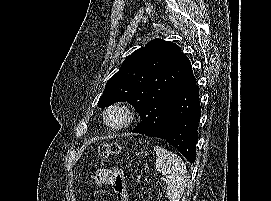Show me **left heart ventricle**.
<instances>
[{
  "label": "left heart ventricle",
  "mask_w": 271,
  "mask_h": 201,
  "mask_svg": "<svg viewBox=\"0 0 271 201\" xmlns=\"http://www.w3.org/2000/svg\"><path fill=\"white\" fill-rule=\"evenodd\" d=\"M109 122L114 125H118L123 121V115L120 112H111L108 116Z\"/></svg>",
  "instance_id": "left-heart-ventricle-1"
}]
</instances>
